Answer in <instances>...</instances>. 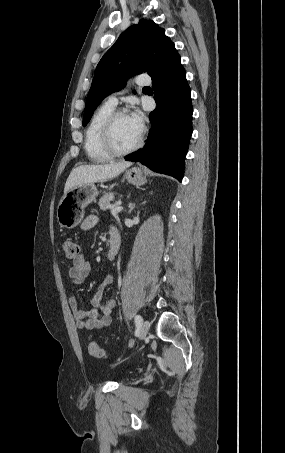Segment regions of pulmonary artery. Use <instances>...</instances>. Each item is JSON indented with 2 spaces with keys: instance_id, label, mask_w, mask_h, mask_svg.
I'll use <instances>...</instances> for the list:
<instances>
[{
  "instance_id": "1",
  "label": "pulmonary artery",
  "mask_w": 285,
  "mask_h": 453,
  "mask_svg": "<svg viewBox=\"0 0 285 453\" xmlns=\"http://www.w3.org/2000/svg\"><path fill=\"white\" fill-rule=\"evenodd\" d=\"M135 82L138 85H147L150 83V78L146 74H140L135 78ZM117 95V93H111L106 97L105 102L115 107L118 103Z\"/></svg>"
}]
</instances>
